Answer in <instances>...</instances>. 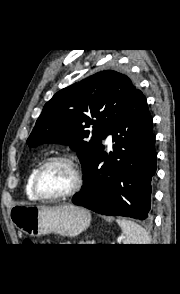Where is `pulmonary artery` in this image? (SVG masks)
<instances>
[{"label": "pulmonary artery", "mask_w": 180, "mask_h": 294, "mask_svg": "<svg viewBox=\"0 0 180 294\" xmlns=\"http://www.w3.org/2000/svg\"><path fill=\"white\" fill-rule=\"evenodd\" d=\"M105 141H106V144L110 146L112 143V136L109 134Z\"/></svg>", "instance_id": "1"}]
</instances>
